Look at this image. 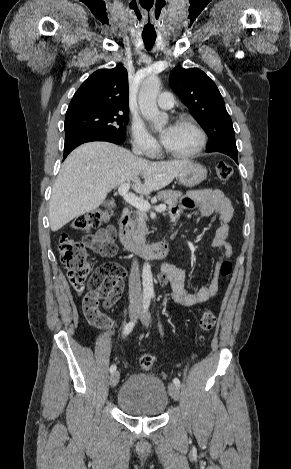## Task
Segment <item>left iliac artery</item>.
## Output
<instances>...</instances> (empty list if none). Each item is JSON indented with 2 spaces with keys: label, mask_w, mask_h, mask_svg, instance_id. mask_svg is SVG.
Instances as JSON below:
<instances>
[{
  "label": "left iliac artery",
  "mask_w": 291,
  "mask_h": 469,
  "mask_svg": "<svg viewBox=\"0 0 291 469\" xmlns=\"http://www.w3.org/2000/svg\"><path fill=\"white\" fill-rule=\"evenodd\" d=\"M152 297L154 298V295H152ZM159 330H160L161 334H163V333H162V327H161L160 322H159ZM173 383H174L175 385H177V386H180V380H179L178 378H174V379H173Z\"/></svg>",
  "instance_id": "obj_1"
}]
</instances>
